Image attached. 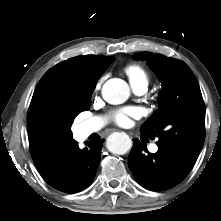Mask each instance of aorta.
<instances>
[{"instance_id":"762f6f07","label":"aorta","mask_w":221,"mask_h":221,"mask_svg":"<svg viewBox=\"0 0 221 221\" xmlns=\"http://www.w3.org/2000/svg\"><path fill=\"white\" fill-rule=\"evenodd\" d=\"M129 95L128 84L119 78L109 79L102 87V96L110 104H122ZM107 146L113 154L123 155L131 148L132 142L125 133H113L108 138Z\"/></svg>"}]
</instances>
